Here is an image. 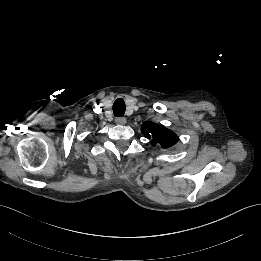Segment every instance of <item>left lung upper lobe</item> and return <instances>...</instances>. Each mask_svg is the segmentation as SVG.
<instances>
[{
  "label": "left lung upper lobe",
  "instance_id": "obj_1",
  "mask_svg": "<svg viewBox=\"0 0 261 261\" xmlns=\"http://www.w3.org/2000/svg\"><path fill=\"white\" fill-rule=\"evenodd\" d=\"M141 132L146 138L152 139L151 143L153 145L159 143L163 148H169L178 141V137L174 132L150 121L142 125Z\"/></svg>",
  "mask_w": 261,
  "mask_h": 261
}]
</instances>
